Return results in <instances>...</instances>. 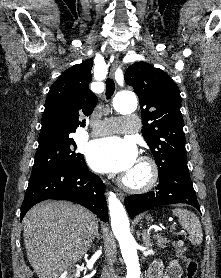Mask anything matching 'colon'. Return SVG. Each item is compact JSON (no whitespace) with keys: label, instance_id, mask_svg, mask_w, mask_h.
Wrapping results in <instances>:
<instances>
[{"label":"colon","instance_id":"1","mask_svg":"<svg viewBox=\"0 0 221 278\" xmlns=\"http://www.w3.org/2000/svg\"><path fill=\"white\" fill-rule=\"evenodd\" d=\"M174 250L185 264V278H196L198 272V263L196 260L186 255V247L181 241L174 243Z\"/></svg>","mask_w":221,"mask_h":278}]
</instances>
